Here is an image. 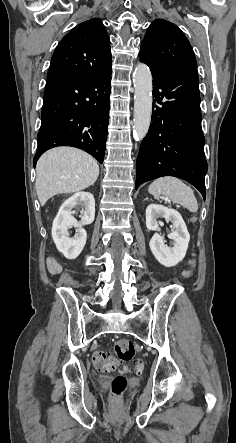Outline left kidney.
<instances>
[{"label":"left kidney","mask_w":236,"mask_h":443,"mask_svg":"<svg viewBox=\"0 0 236 443\" xmlns=\"http://www.w3.org/2000/svg\"><path fill=\"white\" fill-rule=\"evenodd\" d=\"M158 218H165L172 223L173 231L168 234L172 246L165 244L164 236L157 233L159 231ZM146 226L149 230L156 231L149 242L150 249L156 260L165 267H173L182 261L186 255L190 235L186 224L174 209L167 208L159 204H150L146 209Z\"/></svg>","instance_id":"left-kidney-1"}]
</instances>
